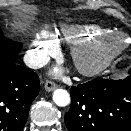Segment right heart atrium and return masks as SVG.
I'll use <instances>...</instances> for the list:
<instances>
[{
	"mask_svg": "<svg viewBox=\"0 0 131 131\" xmlns=\"http://www.w3.org/2000/svg\"><path fill=\"white\" fill-rule=\"evenodd\" d=\"M57 50V45L50 38L49 34L47 32H40L35 36L27 54L29 62L35 65L45 60L48 56L55 54Z\"/></svg>",
	"mask_w": 131,
	"mask_h": 131,
	"instance_id": "d8ad5b80",
	"label": "right heart atrium"
}]
</instances>
